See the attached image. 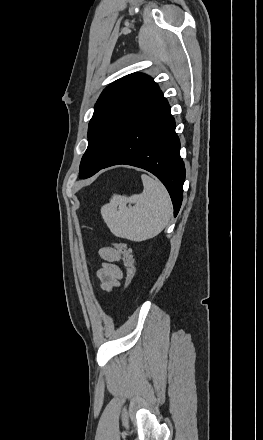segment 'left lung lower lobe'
<instances>
[{"instance_id": "obj_1", "label": "left lung lower lobe", "mask_w": 263, "mask_h": 440, "mask_svg": "<svg viewBox=\"0 0 263 440\" xmlns=\"http://www.w3.org/2000/svg\"><path fill=\"white\" fill-rule=\"evenodd\" d=\"M118 164L136 166L154 174L167 188L174 216L177 215L182 203L185 167L180 157L175 120L160 90L136 114L116 151L101 169Z\"/></svg>"}]
</instances>
